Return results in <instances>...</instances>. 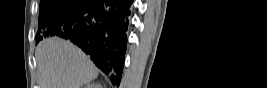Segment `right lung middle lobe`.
<instances>
[{
	"instance_id": "right-lung-middle-lobe-1",
	"label": "right lung middle lobe",
	"mask_w": 267,
	"mask_h": 88,
	"mask_svg": "<svg viewBox=\"0 0 267 88\" xmlns=\"http://www.w3.org/2000/svg\"><path fill=\"white\" fill-rule=\"evenodd\" d=\"M83 0H40L39 25L42 29L37 32V42L43 39L44 30L55 19L72 12Z\"/></svg>"
}]
</instances>
